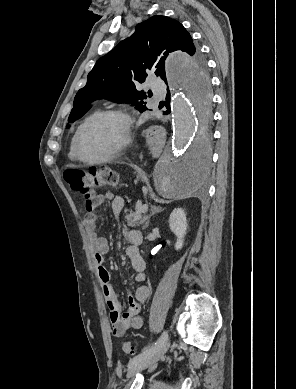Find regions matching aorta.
Masks as SVG:
<instances>
[{
    "mask_svg": "<svg viewBox=\"0 0 296 389\" xmlns=\"http://www.w3.org/2000/svg\"><path fill=\"white\" fill-rule=\"evenodd\" d=\"M190 65L191 58L181 51L170 54L166 61L173 139H169L165 150L166 162L157 167L155 188L167 198H180L191 189H202L205 169L211 166L210 75L205 67Z\"/></svg>",
    "mask_w": 296,
    "mask_h": 389,
    "instance_id": "762f6f07",
    "label": "aorta"
}]
</instances>
